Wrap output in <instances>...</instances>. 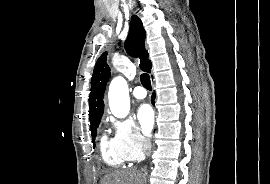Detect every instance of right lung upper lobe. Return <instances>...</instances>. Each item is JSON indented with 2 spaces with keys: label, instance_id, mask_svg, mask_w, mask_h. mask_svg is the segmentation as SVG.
<instances>
[{
  "label": "right lung upper lobe",
  "instance_id": "1",
  "mask_svg": "<svg viewBox=\"0 0 270 184\" xmlns=\"http://www.w3.org/2000/svg\"><path fill=\"white\" fill-rule=\"evenodd\" d=\"M145 36L146 32L141 20L136 15H133L130 30L125 41V49L129 55L140 58V68L143 71L150 72L152 65L148 59V53L145 51ZM106 55L107 52H104L97 60L91 80V92L89 96V119L91 125L100 121L103 115V95L110 77V68L106 62Z\"/></svg>",
  "mask_w": 270,
  "mask_h": 184
}]
</instances>
